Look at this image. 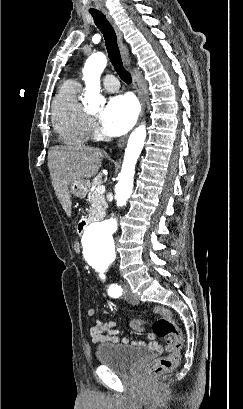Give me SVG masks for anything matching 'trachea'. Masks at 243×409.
<instances>
[{"mask_svg": "<svg viewBox=\"0 0 243 409\" xmlns=\"http://www.w3.org/2000/svg\"><path fill=\"white\" fill-rule=\"evenodd\" d=\"M90 13L94 18L96 26L104 36L106 49L112 65L119 74L120 78L125 83L130 84L132 82V78L130 73L123 67L119 47L117 44V36L112 25L108 22L105 15L100 11H91Z\"/></svg>", "mask_w": 243, "mask_h": 409, "instance_id": "trachea-1", "label": "trachea"}]
</instances>
